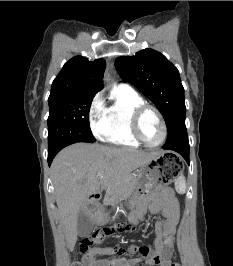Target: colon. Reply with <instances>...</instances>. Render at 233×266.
<instances>
[{
  "mask_svg": "<svg viewBox=\"0 0 233 266\" xmlns=\"http://www.w3.org/2000/svg\"><path fill=\"white\" fill-rule=\"evenodd\" d=\"M134 228V226L132 224H125L119 227L120 231H127V230H132ZM114 232V229L112 228H106L103 230H97L96 232H94L91 236H88L86 238H84L80 244H79V250L81 253H86L88 252V250L90 249L91 246H93L94 244H98L101 243L105 237H107L108 235L112 234ZM123 250L119 249L118 253H122ZM73 266H80L79 262H74ZM170 266H180V264L178 263H173Z\"/></svg>",
  "mask_w": 233,
  "mask_h": 266,
  "instance_id": "obj_1",
  "label": "colon"
}]
</instances>
